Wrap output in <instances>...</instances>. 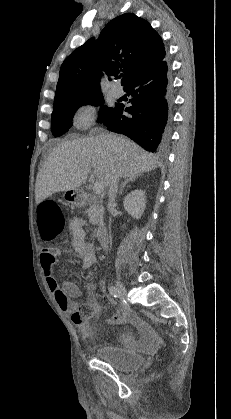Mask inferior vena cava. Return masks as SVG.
<instances>
[{"instance_id": "1", "label": "inferior vena cava", "mask_w": 231, "mask_h": 419, "mask_svg": "<svg viewBox=\"0 0 231 419\" xmlns=\"http://www.w3.org/2000/svg\"><path fill=\"white\" fill-rule=\"evenodd\" d=\"M118 182H119V176L118 174H114L111 177L109 186H108V211L109 212H113L114 207H115V198H116V194L118 192Z\"/></svg>"}]
</instances>
